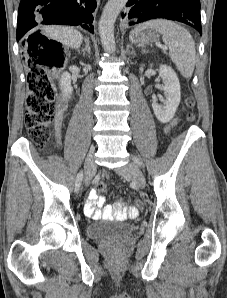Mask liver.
<instances>
[{
    "mask_svg": "<svg viewBox=\"0 0 227 298\" xmlns=\"http://www.w3.org/2000/svg\"><path fill=\"white\" fill-rule=\"evenodd\" d=\"M44 31L51 39L57 40L67 47L78 49L82 44L83 36L74 28L47 26Z\"/></svg>",
    "mask_w": 227,
    "mask_h": 298,
    "instance_id": "1",
    "label": "liver"
}]
</instances>
